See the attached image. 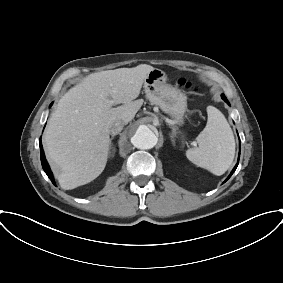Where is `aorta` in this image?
<instances>
[{
    "mask_svg": "<svg viewBox=\"0 0 283 283\" xmlns=\"http://www.w3.org/2000/svg\"><path fill=\"white\" fill-rule=\"evenodd\" d=\"M158 138L146 125H140L131 138L132 144L139 149H151L157 144Z\"/></svg>",
    "mask_w": 283,
    "mask_h": 283,
    "instance_id": "762f6f07",
    "label": "aorta"
}]
</instances>
